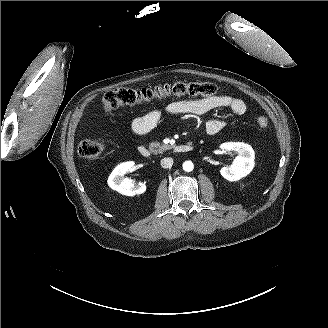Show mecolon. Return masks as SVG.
<instances>
[{
  "mask_svg": "<svg viewBox=\"0 0 328 328\" xmlns=\"http://www.w3.org/2000/svg\"><path fill=\"white\" fill-rule=\"evenodd\" d=\"M219 88L210 82H177L159 85L153 88L130 89L116 88L104 95L103 105L105 110L112 111L121 106H134L161 101L171 96H219ZM261 128L268 127V119L264 116L257 118ZM104 151V145L96 140L84 139L78 145V153L86 159H96Z\"/></svg>",
  "mask_w": 328,
  "mask_h": 328,
  "instance_id": "5ec220e1",
  "label": "colon"
}]
</instances>
